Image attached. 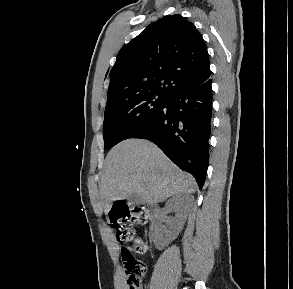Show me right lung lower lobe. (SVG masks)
<instances>
[{
  "label": "right lung lower lobe",
  "instance_id": "right-lung-lower-lobe-1",
  "mask_svg": "<svg viewBox=\"0 0 293 289\" xmlns=\"http://www.w3.org/2000/svg\"><path fill=\"white\" fill-rule=\"evenodd\" d=\"M211 116L212 88L208 79L172 94L128 138L155 143L178 167L191 173L201 189L209 163Z\"/></svg>",
  "mask_w": 293,
  "mask_h": 289
}]
</instances>
